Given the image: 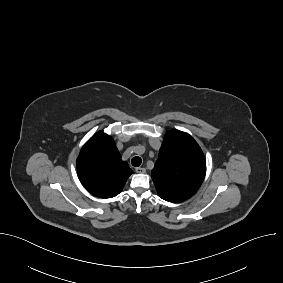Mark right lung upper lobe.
<instances>
[{
	"label": "right lung upper lobe",
	"instance_id": "cb5924a9",
	"mask_svg": "<svg viewBox=\"0 0 283 283\" xmlns=\"http://www.w3.org/2000/svg\"><path fill=\"white\" fill-rule=\"evenodd\" d=\"M77 170L86 190L101 198L118 195L133 173L128 163L121 160L113 139L100 131L83 146Z\"/></svg>",
	"mask_w": 283,
	"mask_h": 283
}]
</instances>
